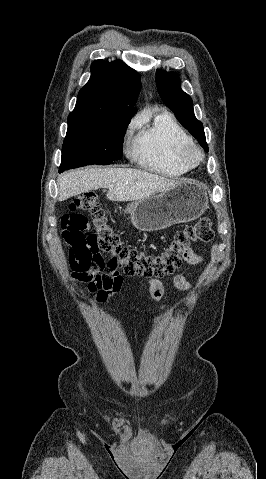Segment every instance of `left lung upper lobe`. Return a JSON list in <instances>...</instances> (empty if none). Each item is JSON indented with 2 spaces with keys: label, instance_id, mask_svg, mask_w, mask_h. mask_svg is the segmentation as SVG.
<instances>
[{
  "label": "left lung upper lobe",
  "instance_id": "left-lung-upper-lobe-1",
  "mask_svg": "<svg viewBox=\"0 0 266 479\" xmlns=\"http://www.w3.org/2000/svg\"><path fill=\"white\" fill-rule=\"evenodd\" d=\"M156 85L161 99L174 112L181 125L208 151L203 124L194 115L191 97L181 90L179 77L173 72L157 70Z\"/></svg>",
  "mask_w": 266,
  "mask_h": 479
}]
</instances>
